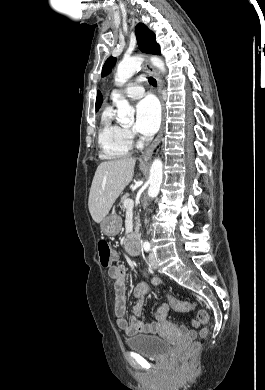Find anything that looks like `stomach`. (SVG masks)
Wrapping results in <instances>:
<instances>
[{"mask_svg":"<svg viewBox=\"0 0 265 390\" xmlns=\"http://www.w3.org/2000/svg\"><path fill=\"white\" fill-rule=\"evenodd\" d=\"M101 231L107 236L117 235L122 227L120 216L116 212L107 214L100 223Z\"/></svg>","mask_w":265,"mask_h":390,"instance_id":"stomach-1","label":"stomach"}]
</instances>
